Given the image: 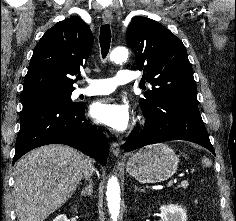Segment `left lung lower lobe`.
Returning <instances> with one entry per match:
<instances>
[{
	"mask_svg": "<svg viewBox=\"0 0 236 221\" xmlns=\"http://www.w3.org/2000/svg\"><path fill=\"white\" fill-rule=\"evenodd\" d=\"M143 114L146 118L143 132L125 143L126 152L152 143L186 140L207 148L215 155L196 100L168 98Z\"/></svg>",
	"mask_w": 236,
	"mask_h": 221,
	"instance_id": "left-lung-lower-lobe-1",
	"label": "left lung lower lobe"
}]
</instances>
